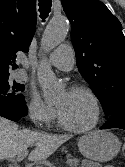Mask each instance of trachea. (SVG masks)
Listing matches in <instances>:
<instances>
[{"mask_svg":"<svg viewBox=\"0 0 125 167\" xmlns=\"http://www.w3.org/2000/svg\"><path fill=\"white\" fill-rule=\"evenodd\" d=\"M52 1L51 0H39V12L40 17L44 20L48 17L51 11Z\"/></svg>","mask_w":125,"mask_h":167,"instance_id":"trachea-1","label":"trachea"}]
</instances>
